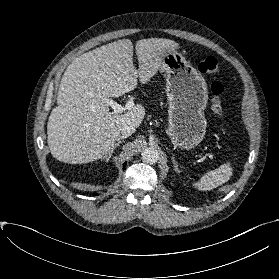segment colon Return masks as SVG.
Wrapping results in <instances>:
<instances>
[{
    "mask_svg": "<svg viewBox=\"0 0 279 279\" xmlns=\"http://www.w3.org/2000/svg\"><path fill=\"white\" fill-rule=\"evenodd\" d=\"M199 71L212 79L210 108L215 115L221 116L223 114L221 95L224 91V84L218 60L213 56L204 58L199 65Z\"/></svg>",
    "mask_w": 279,
    "mask_h": 279,
    "instance_id": "5ec220e1",
    "label": "colon"
}]
</instances>
